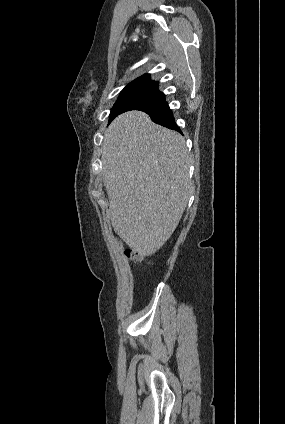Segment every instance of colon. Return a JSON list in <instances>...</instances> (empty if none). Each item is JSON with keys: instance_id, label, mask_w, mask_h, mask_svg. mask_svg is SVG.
Wrapping results in <instances>:
<instances>
[{"instance_id": "obj_1", "label": "colon", "mask_w": 285, "mask_h": 424, "mask_svg": "<svg viewBox=\"0 0 285 424\" xmlns=\"http://www.w3.org/2000/svg\"><path fill=\"white\" fill-rule=\"evenodd\" d=\"M125 254L127 255V257L131 258L132 260H136V261L141 260V254L137 251L126 249Z\"/></svg>"}]
</instances>
